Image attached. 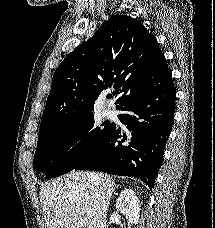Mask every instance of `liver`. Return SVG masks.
I'll return each instance as SVG.
<instances>
[{
  "instance_id": "1",
  "label": "liver",
  "mask_w": 215,
  "mask_h": 228,
  "mask_svg": "<svg viewBox=\"0 0 215 228\" xmlns=\"http://www.w3.org/2000/svg\"><path fill=\"white\" fill-rule=\"evenodd\" d=\"M115 188L112 176L103 172H70L49 180L40 190L47 228H106Z\"/></svg>"
}]
</instances>
